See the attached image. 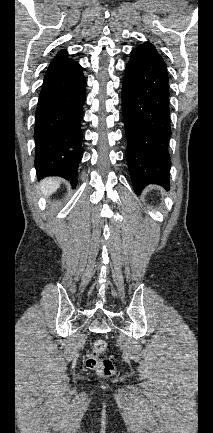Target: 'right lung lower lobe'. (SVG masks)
<instances>
[{
  "label": "right lung lower lobe",
  "instance_id": "right-lung-lower-lobe-1",
  "mask_svg": "<svg viewBox=\"0 0 213 433\" xmlns=\"http://www.w3.org/2000/svg\"><path fill=\"white\" fill-rule=\"evenodd\" d=\"M86 80L82 67L54 59L45 74L35 114V167L39 179L61 176L77 183L82 158V107Z\"/></svg>",
  "mask_w": 213,
  "mask_h": 433
}]
</instances>
